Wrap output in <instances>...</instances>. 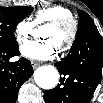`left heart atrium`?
Masks as SVG:
<instances>
[{"label":"left heart atrium","instance_id":"obj_1","mask_svg":"<svg viewBox=\"0 0 103 103\" xmlns=\"http://www.w3.org/2000/svg\"><path fill=\"white\" fill-rule=\"evenodd\" d=\"M57 46L51 39L29 41L22 45L21 53L33 60H47L55 56Z\"/></svg>","mask_w":103,"mask_h":103}]
</instances>
